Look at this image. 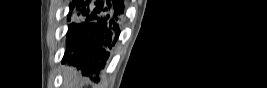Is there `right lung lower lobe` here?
Returning <instances> with one entry per match:
<instances>
[{
  "label": "right lung lower lobe",
  "instance_id": "98d812e1",
  "mask_svg": "<svg viewBox=\"0 0 267 88\" xmlns=\"http://www.w3.org/2000/svg\"><path fill=\"white\" fill-rule=\"evenodd\" d=\"M74 5L78 6V16L81 17L78 23L69 26L66 55L72 52V65L81 69L84 75L94 76L97 82L119 37L124 2L74 0ZM66 55L63 62L66 60Z\"/></svg>",
  "mask_w": 267,
  "mask_h": 88
}]
</instances>
